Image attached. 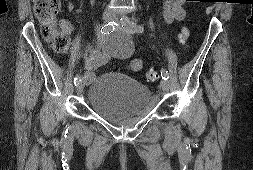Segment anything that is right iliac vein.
<instances>
[{
    "label": "right iliac vein",
    "instance_id": "obj_1",
    "mask_svg": "<svg viewBox=\"0 0 253 170\" xmlns=\"http://www.w3.org/2000/svg\"><path fill=\"white\" fill-rule=\"evenodd\" d=\"M102 19H103V23L109 22L110 20H112L111 14L108 13V12H105L103 14ZM86 83H87V77H86V75H84L82 80L80 82H78L77 85H76L77 93H81L83 91V88H84Z\"/></svg>",
    "mask_w": 253,
    "mask_h": 170
}]
</instances>
